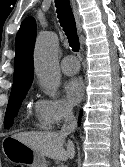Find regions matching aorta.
Wrapping results in <instances>:
<instances>
[{
	"label": "aorta",
	"mask_w": 125,
	"mask_h": 167,
	"mask_svg": "<svg viewBox=\"0 0 125 167\" xmlns=\"http://www.w3.org/2000/svg\"><path fill=\"white\" fill-rule=\"evenodd\" d=\"M58 37L53 32L38 36L34 49L35 72L46 95L55 98L61 74L57 57Z\"/></svg>",
	"instance_id": "1"
}]
</instances>
